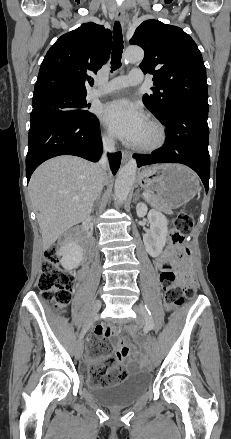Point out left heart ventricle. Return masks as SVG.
Segmentation results:
<instances>
[{
	"mask_svg": "<svg viewBox=\"0 0 231 439\" xmlns=\"http://www.w3.org/2000/svg\"><path fill=\"white\" fill-rule=\"evenodd\" d=\"M153 137H154V130L149 124H147L139 143L150 141L153 139Z\"/></svg>",
	"mask_w": 231,
	"mask_h": 439,
	"instance_id": "obj_1",
	"label": "left heart ventricle"
}]
</instances>
